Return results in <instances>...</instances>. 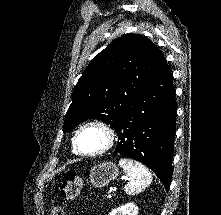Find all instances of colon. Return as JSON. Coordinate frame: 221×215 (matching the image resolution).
Listing matches in <instances>:
<instances>
[{
  "instance_id": "1",
  "label": "colon",
  "mask_w": 221,
  "mask_h": 215,
  "mask_svg": "<svg viewBox=\"0 0 221 215\" xmlns=\"http://www.w3.org/2000/svg\"><path fill=\"white\" fill-rule=\"evenodd\" d=\"M82 185V180L78 173L74 170H69L64 177L61 186V197L64 200H74ZM50 215H65V210L62 205L54 204L50 207Z\"/></svg>"
}]
</instances>
